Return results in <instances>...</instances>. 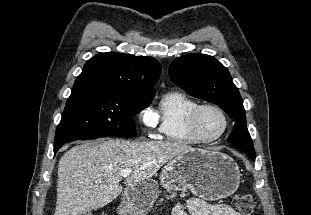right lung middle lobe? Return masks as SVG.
Returning a JSON list of instances; mask_svg holds the SVG:
<instances>
[{
    "mask_svg": "<svg viewBox=\"0 0 311 215\" xmlns=\"http://www.w3.org/2000/svg\"><path fill=\"white\" fill-rule=\"evenodd\" d=\"M153 96L114 92L93 87L73 89L57 127L56 145L101 136L137 135L132 116Z\"/></svg>",
    "mask_w": 311,
    "mask_h": 215,
    "instance_id": "dd1d6c3e",
    "label": "right lung middle lobe"
}]
</instances>
